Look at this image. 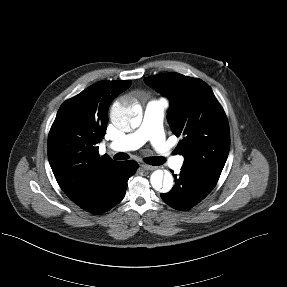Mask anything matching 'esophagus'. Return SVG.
I'll return each instance as SVG.
<instances>
[{
	"mask_svg": "<svg viewBox=\"0 0 287 287\" xmlns=\"http://www.w3.org/2000/svg\"><path fill=\"white\" fill-rule=\"evenodd\" d=\"M141 167L144 169V170H155L156 167L155 166H151V165H148V164H142Z\"/></svg>",
	"mask_w": 287,
	"mask_h": 287,
	"instance_id": "1",
	"label": "esophagus"
}]
</instances>
